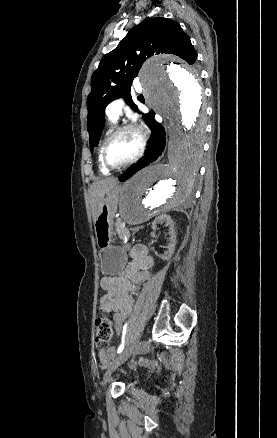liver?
Returning <instances> with one entry per match:
<instances>
[{
    "label": "liver",
    "mask_w": 277,
    "mask_h": 438,
    "mask_svg": "<svg viewBox=\"0 0 277 438\" xmlns=\"http://www.w3.org/2000/svg\"><path fill=\"white\" fill-rule=\"evenodd\" d=\"M117 180L116 178H107V180H100V182H96V184H92L91 186V196H92V214H93V222H96L99 214H100V206L104 202L105 194L107 192H111L112 188L116 186Z\"/></svg>",
    "instance_id": "1"
}]
</instances>
